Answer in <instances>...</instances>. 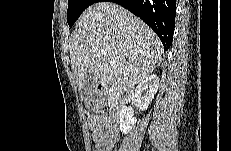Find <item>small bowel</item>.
<instances>
[{"label":"small bowel","mask_w":231,"mask_h":151,"mask_svg":"<svg viewBox=\"0 0 231 151\" xmlns=\"http://www.w3.org/2000/svg\"><path fill=\"white\" fill-rule=\"evenodd\" d=\"M115 120L107 115H92L88 118L95 151H112L118 139Z\"/></svg>","instance_id":"obj_1"}]
</instances>
